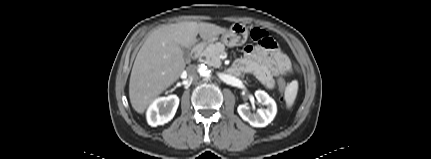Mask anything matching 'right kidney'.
Returning a JSON list of instances; mask_svg holds the SVG:
<instances>
[{
	"label": "right kidney",
	"instance_id": "right-kidney-1",
	"mask_svg": "<svg viewBox=\"0 0 431 159\" xmlns=\"http://www.w3.org/2000/svg\"><path fill=\"white\" fill-rule=\"evenodd\" d=\"M178 105L179 98L176 95L156 99L147 110L148 124L156 127L169 122L174 117Z\"/></svg>",
	"mask_w": 431,
	"mask_h": 159
}]
</instances>
